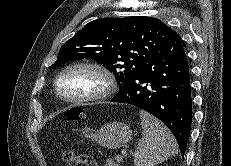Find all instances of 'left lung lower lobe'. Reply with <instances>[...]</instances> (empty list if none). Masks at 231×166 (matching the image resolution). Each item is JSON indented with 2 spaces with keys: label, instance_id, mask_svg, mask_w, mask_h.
Here are the masks:
<instances>
[{
  "label": "left lung lower lobe",
  "instance_id": "1",
  "mask_svg": "<svg viewBox=\"0 0 231 166\" xmlns=\"http://www.w3.org/2000/svg\"><path fill=\"white\" fill-rule=\"evenodd\" d=\"M112 102L128 103L159 118L175 135L184 155L191 130L189 65L177 33L141 67Z\"/></svg>",
  "mask_w": 231,
  "mask_h": 166
}]
</instances>
